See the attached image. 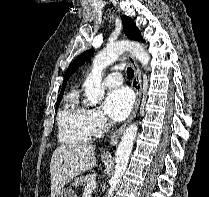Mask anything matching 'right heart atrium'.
<instances>
[{"instance_id":"right-heart-atrium-1","label":"right heart atrium","mask_w":209,"mask_h":197,"mask_svg":"<svg viewBox=\"0 0 209 197\" xmlns=\"http://www.w3.org/2000/svg\"><path fill=\"white\" fill-rule=\"evenodd\" d=\"M88 122L93 135L102 133L108 126V120L99 109H88Z\"/></svg>"}]
</instances>
